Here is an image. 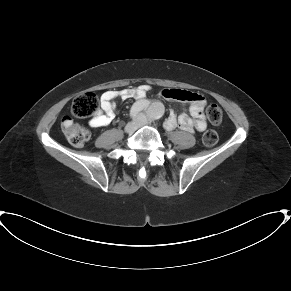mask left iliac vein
I'll return each mask as SVG.
<instances>
[{
	"label": "left iliac vein",
	"mask_w": 291,
	"mask_h": 291,
	"mask_svg": "<svg viewBox=\"0 0 291 291\" xmlns=\"http://www.w3.org/2000/svg\"><path fill=\"white\" fill-rule=\"evenodd\" d=\"M149 124H150V121L145 116L139 117V125L140 126H145V125H149Z\"/></svg>",
	"instance_id": "obj_1"
}]
</instances>
